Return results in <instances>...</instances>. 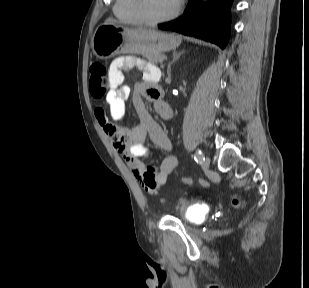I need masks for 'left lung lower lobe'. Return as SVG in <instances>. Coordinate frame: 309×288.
I'll list each match as a JSON object with an SVG mask.
<instances>
[{
	"mask_svg": "<svg viewBox=\"0 0 309 288\" xmlns=\"http://www.w3.org/2000/svg\"><path fill=\"white\" fill-rule=\"evenodd\" d=\"M232 0H189L185 13L173 21L159 24L163 30H172L194 36L220 46L222 49L230 35L229 8Z\"/></svg>",
	"mask_w": 309,
	"mask_h": 288,
	"instance_id": "0a47b994",
	"label": "left lung lower lobe"
}]
</instances>
